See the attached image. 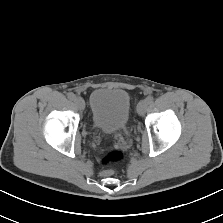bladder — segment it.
Segmentation results:
<instances>
[{
    "label": "bladder",
    "mask_w": 223,
    "mask_h": 223,
    "mask_svg": "<svg viewBox=\"0 0 223 223\" xmlns=\"http://www.w3.org/2000/svg\"><path fill=\"white\" fill-rule=\"evenodd\" d=\"M94 125L105 133L123 129L131 112V98L122 88H98L90 95Z\"/></svg>",
    "instance_id": "obj_1"
}]
</instances>
